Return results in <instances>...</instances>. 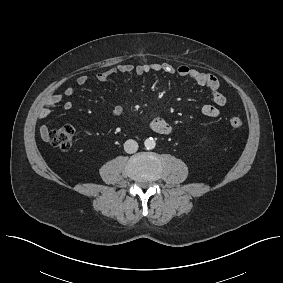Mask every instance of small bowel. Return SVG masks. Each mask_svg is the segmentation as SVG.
I'll return each mask as SVG.
<instances>
[{
  "label": "small bowel",
  "instance_id": "1",
  "mask_svg": "<svg viewBox=\"0 0 283 283\" xmlns=\"http://www.w3.org/2000/svg\"><path fill=\"white\" fill-rule=\"evenodd\" d=\"M150 72L164 73L168 75H176L181 78H185L194 82L195 84L208 89L211 92L213 104H205L201 107V113L208 118H216L220 115V107H223L227 103L226 96L220 92V82L218 78L211 74L198 71L186 65L174 66L170 63H150V64H121L109 70L99 72L97 74V80L105 82L113 75L117 74H147ZM88 78L86 75H80L76 79V83L79 86H83L87 83ZM75 93V88L71 85L66 86L63 93H53L46 99L44 105L38 112L40 120L46 119L52 109L57 105H62L64 109L69 110L73 107V103L67 100L66 97H70ZM113 113L116 116H120L123 113L121 105H116L113 109ZM150 126L153 131L168 135L172 133L173 127L170 123L161 117H155L151 120ZM40 133L43 137H46L48 129L46 126L40 128Z\"/></svg>",
  "mask_w": 283,
  "mask_h": 283
}]
</instances>
